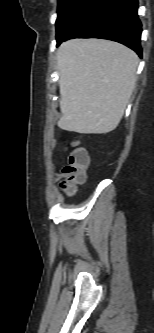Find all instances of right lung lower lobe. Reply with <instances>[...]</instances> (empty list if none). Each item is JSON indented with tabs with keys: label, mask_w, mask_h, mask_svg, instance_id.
<instances>
[{
	"label": "right lung lower lobe",
	"mask_w": 154,
	"mask_h": 333,
	"mask_svg": "<svg viewBox=\"0 0 154 333\" xmlns=\"http://www.w3.org/2000/svg\"><path fill=\"white\" fill-rule=\"evenodd\" d=\"M137 8V0H100L86 19L57 45L71 38H102L122 43L141 57Z\"/></svg>",
	"instance_id": "obj_1"
}]
</instances>
